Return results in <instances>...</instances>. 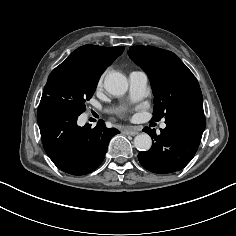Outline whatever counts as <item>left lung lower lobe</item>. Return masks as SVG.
I'll return each instance as SVG.
<instances>
[{
  "instance_id": "0a47b994",
  "label": "left lung lower lobe",
  "mask_w": 236,
  "mask_h": 236,
  "mask_svg": "<svg viewBox=\"0 0 236 236\" xmlns=\"http://www.w3.org/2000/svg\"><path fill=\"white\" fill-rule=\"evenodd\" d=\"M161 134L149 127L143 129L152 139V147L140 152L141 165L154 173H172L183 169L194 157L206 126L203 108L187 107L165 119Z\"/></svg>"
}]
</instances>
